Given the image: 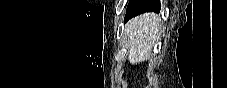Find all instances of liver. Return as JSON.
<instances>
[{
	"instance_id": "1",
	"label": "liver",
	"mask_w": 227,
	"mask_h": 88,
	"mask_svg": "<svg viewBox=\"0 0 227 88\" xmlns=\"http://www.w3.org/2000/svg\"><path fill=\"white\" fill-rule=\"evenodd\" d=\"M160 19L155 13L139 15L125 25L128 59L135 65L150 57L155 40L159 38Z\"/></svg>"
}]
</instances>
